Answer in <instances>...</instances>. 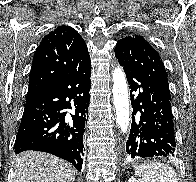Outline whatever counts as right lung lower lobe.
I'll use <instances>...</instances> for the list:
<instances>
[{"mask_svg": "<svg viewBox=\"0 0 196 182\" xmlns=\"http://www.w3.org/2000/svg\"><path fill=\"white\" fill-rule=\"evenodd\" d=\"M90 59L26 103L14 144L15 153L43 151L82 169L86 111L90 101ZM74 114L67 118L65 110Z\"/></svg>", "mask_w": 196, "mask_h": 182, "instance_id": "right-lung-lower-lobe-1", "label": "right lung lower lobe"}]
</instances>
